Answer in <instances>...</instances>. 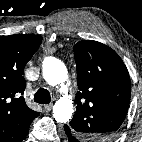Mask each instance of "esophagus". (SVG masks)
Masks as SVG:
<instances>
[{"label": "esophagus", "mask_w": 142, "mask_h": 142, "mask_svg": "<svg viewBox=\"0 0 142 142\" xmlns=\"http://www.w3.org/2000/svg\"><path fill=\"white\" fill-rule=\"evenodd\" d=\"M52 107H53V104H47L43 106V109L45 112H49L51 111Z\"/></svg>", "instance_id": "esophagus-1"}]
</instances>
